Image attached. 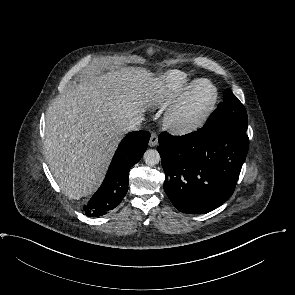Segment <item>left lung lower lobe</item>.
I'll return each mask as SVG.
<instances>
[{"instance_id": "left-lung-lower-lobe-1", "label": "left lung lower lobe", "mask_w": 295, "mask_h": 295, "mask_svg": "<svg viewBox=\"0 0 295 295\" xmlns=\"http://www.w3.org/2000/svg\"><path fill=\"white\" fill-rule=\"evenodd\" d=\"M158 142L164 190L179 211L204 214L231 197L248 152L246 131L204 125L184 136L162 132Z\"/></svg>"}]
</instances>
